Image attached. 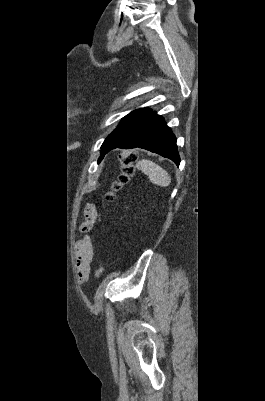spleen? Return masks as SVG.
<instances>
[{"label":"spleen","instance_id":"1","mask_svg":"<svg viewBox=\"0 0 265 401\" xmlns=\"http://www.w3.org/2000/svg\"><path fill=\"white\" fill-rule=\"evenodd\" d=\"M138 168L143 170L145 174H148L151 182H154V184H159V186H169L171 178L167 170L161 168L159 164H155L152 160H146V158H143V160H139Z\"/></svg>","mask_w":265,"mask_h":401}]
</instances>
